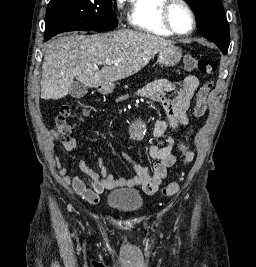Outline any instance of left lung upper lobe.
Instances as JSON below:
<instances>
[{
  "instance_id": "1",
  "label": "left lung upper lobe",
  "mask_w": 256,
  "mask_h": 267,
  "mask_svg": "<svg viewBox=\"0 0 256 267\" xmlns=\"http://www.w3.org/2000/svg\"><path fill=\"white\" fill-rule=\"evenodd\" d=\"M194 10L198 31L213 41L226 54L229 47V28L220 0H185Z\"/></svg>"
}]
</instances>
